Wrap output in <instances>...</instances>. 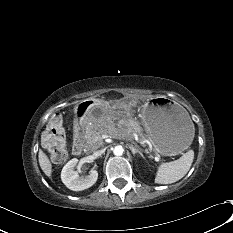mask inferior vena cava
<instances>
[{
  "mask_svg": "<svg viewBox=\"0 0 233 233\" xmlns=\"http://www.w3.org/2000/svg\"><path fill=\"white\" fill-rule=\"evenodd\" d=\"M105 152V149H101L94 152V156L99 157Z\"/></svg>",
  "mask_w": 233,
  "mask_h": 233,
  "instance_id": "obj_1",
  "label": "inferior vena cava"
}]
</instances>
